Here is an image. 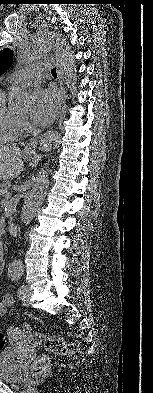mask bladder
<instances>
[{
  "label": "bladder",
  "mask_w": 153,
  "mask_h": 393,
  "mask_svg": "<svg viewBox=\"0 0 153 393\" xmlns=\"http://www.w3.org/2000/svg\"><path fill=\"white\" fill-rule=\"evenodd\" d=\"M23 375L21 365L16 361V352L13 348L0 351V380L19 383Z\"/></svg>",
  "instance_id": "31cf9c89"
}]
</instances>
